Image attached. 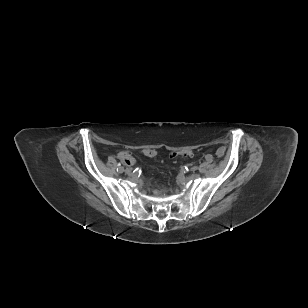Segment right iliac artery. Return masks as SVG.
<instances>
[{
    "instance_id": "82829eb1",
    "label": "right iliac artery",
    "mask_w": 308,
    "mask_h": 308,
    "mask_svg": "<svg viewBox=\"0 0 308 308\" xmlns=\"http://www.w3.org/2000/svg\"><path fill=\"white\" fill-rule=\"evenodd\" d=\"M117 171H118L119 173H122V172L124 171V168L121 166L120 163L118 164Z\"/></svg>"
}]
</instances>
